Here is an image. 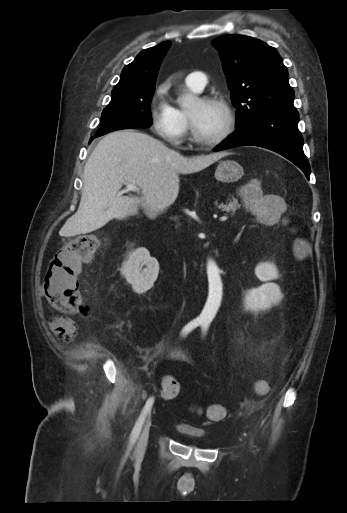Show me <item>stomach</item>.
<instances>
[{"label": "stomach", "instance_id": "1", "mask_svg": "<svg viewBox=\"0 0 347 513\" xmlns=\"http://www.w3.org/2000/svg\"><path fill=\"white\" fill-rule=\"evenodd\" d=\"M244 175L243 167L234 160L221 161L215 171L216 180L223 183H233Z\"/></svg>", "mask_w": 347, "mask_h": 513}]
</instances>
